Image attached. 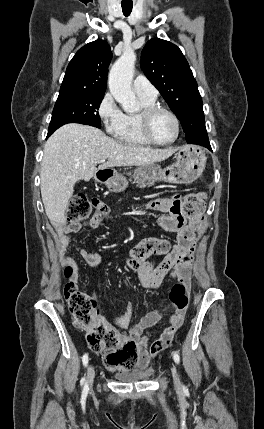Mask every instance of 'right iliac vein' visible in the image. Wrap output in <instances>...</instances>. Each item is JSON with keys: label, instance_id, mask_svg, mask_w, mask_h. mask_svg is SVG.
I'll return each mask as SVG.
<instances>
[{"label": "right iliac vein", "instance_id": "1", "mask_svg": "<svg viewBox=\"0 0 264 429\" xmlns=\"http://www.w3.org/2000/svg\"><path fill=\"white\" fill-rule=\"evenodd\" d=\"M94 377H95V370H94V367L90 364L88 366V369H87V384L88 385L92 384Z\"/></svg>", "mask_w": 264, "mask_h": 429}]
</instances>
